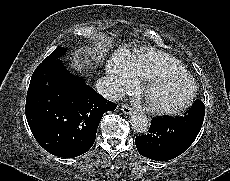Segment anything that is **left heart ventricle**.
<instances>
[{
    "mask_svg": "<svg viewBox=\"0 0 230 181\" xmlns=\"http://www.w3.org/2000/svg\"><path fill=\"white\" fill-rule=\"evenodd\" d=\"M191 89L189 81L183 78H169L153 87L151 100L161 105L180 103Z\"/></svg>",
    "mask_w": 230,
    "mask_h": 181,
    "instance_id": "1",
    "label": "left heart ventricle"
}]
</instances>
